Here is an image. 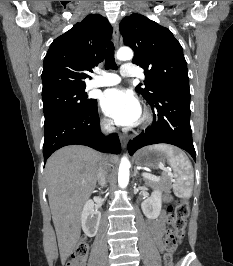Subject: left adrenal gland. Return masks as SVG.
I'll list each match as a JSON object with an SVG mask.
<instances>
[{"label":"left adrenal gland","instance_id":"a2214340","mask_svg":"<svg viewBox=\"0 0 233 266\" xmlns=\"http://www.w3.org/2000/svg\"><path fill=\"white\" fill-rule=\"evenodd\" d=\"M138 175V170L135 168L134 169V176H137ZM141 181V180H140Z\"/></svg>","mask_w":233,"mask_h":266}]
</instances>
